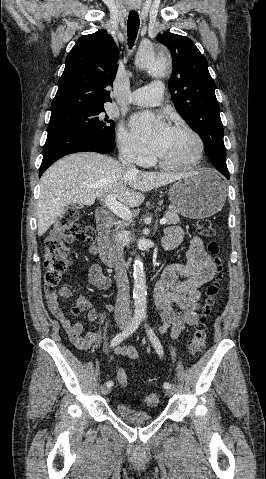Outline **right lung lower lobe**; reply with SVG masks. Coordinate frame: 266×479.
I'll list each match as a JSON object with an SVG mask.
<instances>
[{
  "label": "right lung lower lobe",
  "mask_w": 266,
  "mask_h": 479,
  "mask_svg": "<svg viewBox=\"0 0 266 479\" xmlns=\"http://www.w3.org/2000/svg\"><path fill=\"white\" fill-rule=\"evenodd\" d=\"M115 148V141L94 134L62 127L48 128V136L43 150V160L39 177L59 158L75 152L109 153Z\"/></svg>",
  "instance_id": "obj_1"
}]
</instances>
